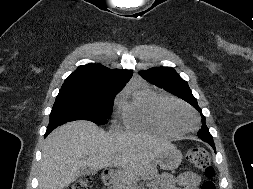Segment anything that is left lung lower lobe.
<instances>
[{
	"mask_svg": "<svg viewBox=\"0 0 253 189\" xmlns=\"http://www.w3.org/2000/svg\"><path fill=\"white\" fill-rule=\"evenodd\" d=\"M198 137H200L202 140H204L205 142H207L208 144H210L211 147L214 149V151H216V150H215V145H214V142H213V139H212L211 136L208 137V136H205V135L202 134V133H198Z\"/></svg>",
	"mask_w": 253,
	"mask_h": 189,
	"instance_id": "left-lung-lower-lobe-1",
	"label": "left lung lower lobe"
}]
</instances>
